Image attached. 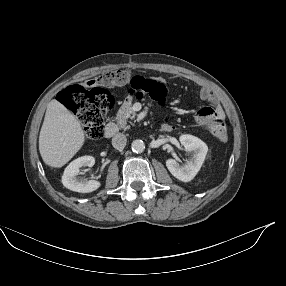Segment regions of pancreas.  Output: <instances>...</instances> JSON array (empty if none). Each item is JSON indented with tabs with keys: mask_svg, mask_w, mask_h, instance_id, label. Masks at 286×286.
Wrapping results in <instances>:
<instances>
[{
	"mask_svg": "<svg viewBox=\"0 0 286 286\" xmlns=\"http://www.w3.org/2000/svg\"><path fill=\"white\" fill-rule=\"evenodd\" d=\"M135 117V112L131 108V104L126 102L124 103L117 112L116 120L118 124H125L126 121L130 118L133 119Z\"/></svg>",
	"mask_w": 286,
	"mask_h": 286,
	"instance_id": "pancreas-1",
	"label": "pancreas"
}]
</instances>
